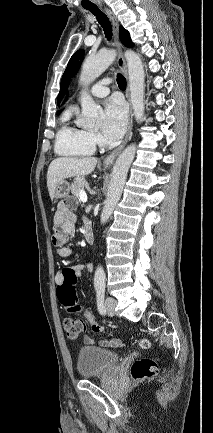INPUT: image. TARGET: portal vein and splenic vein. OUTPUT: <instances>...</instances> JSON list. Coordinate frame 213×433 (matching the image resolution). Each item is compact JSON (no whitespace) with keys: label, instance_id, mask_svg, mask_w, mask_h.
<instances>
[{"label":"portal vein and splenic vein","instance_id":"obj_1","mask_svg":"<svg viewBox=\"0 0 213 433\" xmlns=\"http://www.w3.org/2000/svg\"><path fill=\"white\" fill-rule=\"evenodd\" d=\"M79 198L82 202H87V194L84 190L80 191Z\"/></svg>","mask_w":213,"mask_h":433}]
</instances>
